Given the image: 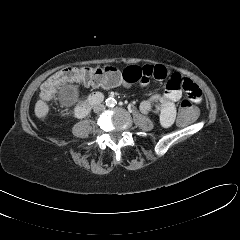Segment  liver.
<instances>
[{"label":"liver","instance_id":"liver-1","mask_svg":"<svg viewBox=\"0 0 240 240\" xmlns=\"http://www.w3.org/2000/svg\"><path fill=\"white\" fill-rule=\"evenodd\" d=\"M35 115L38 118H44L49 112V106L43 100H38L35 104Z\"/></svg>","mask_w":240,"mask_h":240}]
</instances>
